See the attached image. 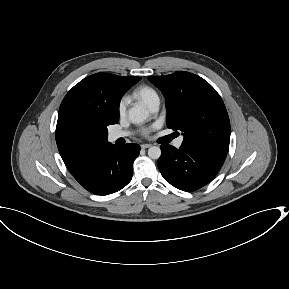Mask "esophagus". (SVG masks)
<instances>
[{
	"mask_svg": "<svg viewBox=\"0 0 289 289\" xmlns=\"http://www.w3.org/2000/svg\"><path fill=\"white\" fill-rule=\"evenodd\" d=\"M152 145L151 144H142L141 145V148L142 149H147V148H149V147H151Z\"/></svg>",
	"mask_w": 289,
	"mask_h": 289,
	"instance_id": "esophagus-1",
	"label": "esophagus"
}]
</instances>
